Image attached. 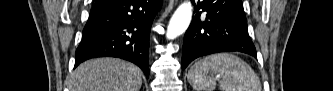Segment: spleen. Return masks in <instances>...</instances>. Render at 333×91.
<instances>
[{
    "instance_id": "obj_1",
    "label": "spleen",
    "mask_w": 333,
    "mask_h": 91,
    "mask_svg": "<svg viewBox=\"0 0 333 91\" xmlns=\"http://www.w3.org/2000/svg\"><path fill=\"white\" fill-rule=\"evenodd\" d=\"M215 76L221 77L222 91L262 89L260 79L250 65L230 53L213 54L195 62L188 71L187 79L195 91H214Z\"/></svg>"
}]
</instances>
